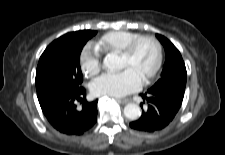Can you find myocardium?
Masks as SVG:
<instances>
[{
  "mask_svg": "<svg viewBox=\"0 0 225 155\" xmlns=\"http://www.w3.org/2000/svg\"><path fill=\"white\" fill-rule=\"evenodd\" d=\"M142 41H149L153 44L155 48V63L152 68V70L146 75V77L143 79L145 83L152 80L159 72L161 64H162V58H163V52H162V45L159 42L157 38L151 35H139L133 40H131L126 47L120 52V55L130 57L135 52L137 46Z\"/></svg>",
  "mask_w": 225,
  "mask_h": 155,
  "instance_id": "f54148a6",
  "label": "myocardium"
}]
</instances>
